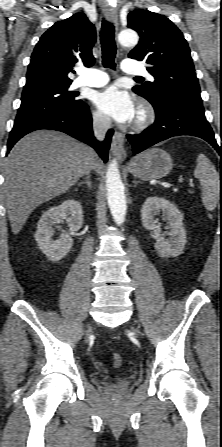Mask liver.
<instances>
[{
    "mask_svg": "<svg viewBox=\"0 0 222 447\" xmlns=\"http://www.w3.org/2000/svg\"><path fill=\"white\" fill-rule=\"evenodd\" d=\"M102 163L87 145L60 132L36 131L23 137L4 164V199L13 234L40 204L69 190Z\"/></svg>",
    "mask_w": 222,
    "mask_h": 447,
    "instance_id": "liver-1",
    "label": "liver"
}]
</instances>
